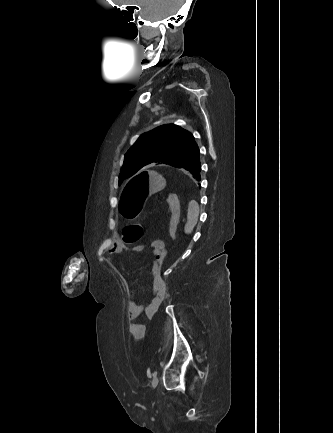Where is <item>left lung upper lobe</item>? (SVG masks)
I'll list each match as a JSON object with an SVG mask.
<instances>
[{
	"label": "left lung upper lobe",
	"instance_id": "obj_1",
	"mask_svg": "<svg viewBox=\"0 0 333 433\" xmlns=\"http://www.w3.org/2000/svg\"><path fill=\"white\" fill-rule=\"evenodd\" d=\"M200 155L194 136L174 124L162 125L141 135L125 155L119 184L149 164L182 168Z\"/></svg>",
	"mask_w": 333,
	"mask_h": 433
}]
</instances>
